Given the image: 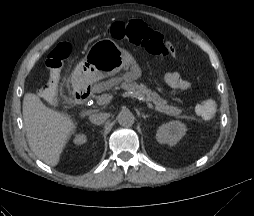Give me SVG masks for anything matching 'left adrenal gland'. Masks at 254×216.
I'll list each match as a JSON object with an SVG mask.
<instances>
[{"mask_svg":"<svg viewBox=\"0 0 254 216\" xmlns=\"http://www.w3.org/2000/svg\"><path fill=\"white\" fill-rule=\"evenodd\" d=\"M142 117L144 118V120H146L149 116L143 114Z\"/></svg>","mask_w":254,"mask_h":216,"instance_id":"a2214340","label":"left adrenal gland"}]
</instances>
